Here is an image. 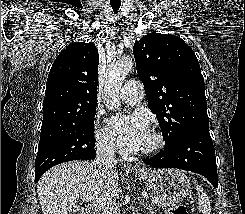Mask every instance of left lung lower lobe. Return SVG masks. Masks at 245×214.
<instances>
[{"mask_svg":"<svg viewBox=\"0 0 245 214\" xmlns=\"http://www.w3.org/2000/svg\"><path fill=\"white\" fill-rule=\"evenodd\" d=\"M143 162L155 168H178L198 173L214 188L218 185L215 149L209 128L191 130L174 145Z\"/></svg>","mask_w":245,"mask_h":214,"instance_id":"left-lung-lower-lobe-1","label":"left lung lower lobe"}]
</instances>
